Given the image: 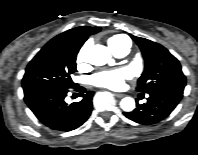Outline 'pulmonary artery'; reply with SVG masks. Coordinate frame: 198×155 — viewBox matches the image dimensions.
I'll return each mask as SVG.
<instances>
[{
  "label": "pulmonary artery",
  "instance_id": "pulmonary-artery-1",
  "mask_svg": "<svg viewBox=\"0 0 198 155\" xmlns=\"http://www.w3.org/2000/svg\"><path fill=\"white\" fill-rule=\"evenodd\" d=\"M130 48V43L127 39L122 40L121 44L118 46L117 49L112 50V52L118 57H124L128 54Z\"/></svg>",
  "mask_w": 198,
  "mask_h": 155
}]
</instances>
